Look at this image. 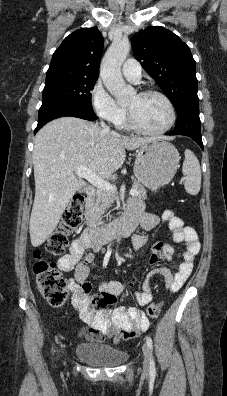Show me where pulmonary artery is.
Listing matches in <instances>:
<instances>
[{"instance_id": "1", "label": "pulmonary artery", "mask_w": 227, "mask_h": 396, "mask_svg": "<svg viewBox=\"0 0 227 396\" xmlns=\"http://www.w3.org/2000/svg\"><path fill=\"white\" fill-rule=\"evenodd\" d=\"M122 74L130 81H138L141 77V66L135 59H128L122 66Z\"/></svg>"}]
</instances>
